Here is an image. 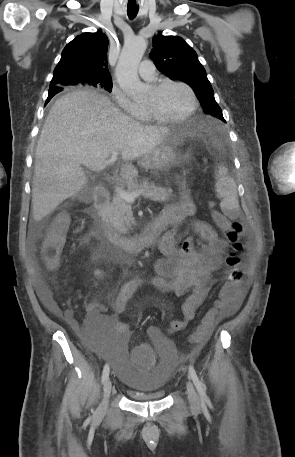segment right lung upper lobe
Returning a JSON list of instances; mask_svg holds the SVG:
<instances>
[{
    "instance_id": "obj_1",
    "label": "right lung upper lobe",
    "mask_w": 295,
    "mask_h": 457,
    "mask_svg": "<svg viewBox=\"0 0 295 457\" xmlns=\"http://www.w3.org/2000/svg\"><path fill=\"white\" fill-rule=\"evenodd\" d=\"M108 38L101 32L83 33L62 51L50 88L112 81L107 68Z\"/></svg>"
}]
</instances>
